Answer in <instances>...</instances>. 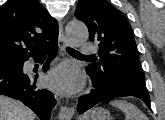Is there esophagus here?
<instances>
[{
	"label": "esophagus",
	"instance_id": "esophagus-1",
	"mask_svg": "<svg viewBox=\"0 0 165 120\" xmlns=\"http://www.w3.org/2000/svg\"><path fill=\"white\" fill-rule=\"evenodd\" d=\"M68 46V40L65 36L63 24L59 22V49L64 51ZM74 108L69 106H61L58 117L60 120H70L73 117Z\"/></svg>",
	"mask_w": 165,
	"mask_h": 120
}]
</instances>
